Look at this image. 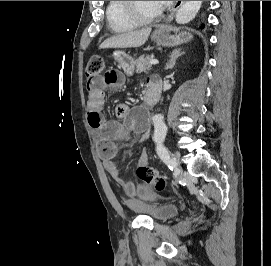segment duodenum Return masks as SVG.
Instances as JSON below:
<instances>
[{"instance_id":"obj_1","label":"duodenum","mask_w":271,"mask_h":266,"mask_svg":"<svg viewBox=\"0 0 271 266\" xmlns=\"http://www.w3.org/2000/svg\"><path fill=\"white\" fill-rule=\"evenodd\" d=\"M160 98V89L155 83H150L144 96V102L151 106L155 105Z\"/></svg>"}]
</instances>
